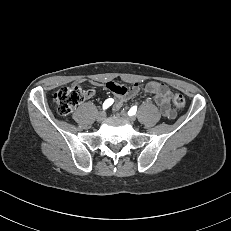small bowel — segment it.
I'll return each instance as SVG.
<instances>
[{
	"mask_svg": "<svg viewBox=\"0 0 231 231\" xmlns=\"http://www.w3.org/2000/svg\"><path fill=\"white\" fill-rule=\"evenodd\" d=\"M81 82H89L91 84H96L94 81L87 80H81ZM107 87L110 91H112L118 96V101L116 103V107L118 108L125 99V97L129 94L128 89L114 82L108 83ZM137 91V85H134L130 90L131 93H135ZM146 91L155 96V102L159 106L160 111L164 117L168 119H173L176 116V112L170 104L171 91L166 85L156 81H150L146 85ZM93 94L94 91H88V97L93 96Z\"/></svg>",
	"mask_w": 231,
	"mask_h": 231,
	"instance_id": "small-bowel-1",
	"label": "small bowel"
}]
</instances>
